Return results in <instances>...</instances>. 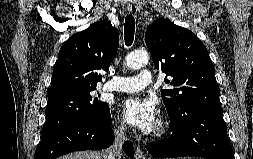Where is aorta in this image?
<instances>
[{
    "label": "aorta",
    "mask_w": 253,
    "mask_h": 159,
    "mask_svg": "<svg viewBox=\"0 0 253 159\" xmlns=\"http://www.w3.org/2000/svg\"><path fill=\"white\" fill-rule=\"evenodd\" d=\"M149 61V54L145 50L131 52L126 56V66L130 69H139Z\"/></svg>",
    "instance_id": "aorta-1"
}]
</instances>
